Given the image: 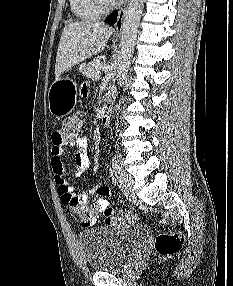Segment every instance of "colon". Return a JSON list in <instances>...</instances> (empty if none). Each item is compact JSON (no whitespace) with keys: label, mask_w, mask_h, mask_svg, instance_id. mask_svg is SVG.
Returning a JSON list of instances; mask_svg holds the SVG:
<instances>
[{"label":"colon","mask_w":233,"mask_h":286,"mask_svg":"<svg viewBox=\"0 0 233 286\" xmlns=\"http://www.w3.org/2000/svg\"><path fill=\"white\" fill-rule=\"evenodd\" d=\"M84 125V115L82 113H75L65 117L62 122L60 129L57 130L60 136L66 137H80L82 136ZM69 211H72L78 219H81L84 224L90 225L92 222L94 209L91 206L86 208H80V202L78 198H71L68 200ZM137 221V215L133 211H122L118 215H112L106 213L103 222L107 226L119 227L126 224H132ZM183 238L180 233L172 232L162 234L156 241V250L162 255H169L176 252L182 245Z\"/></svg>","instance_id":"colon-1"}]
</instances>
